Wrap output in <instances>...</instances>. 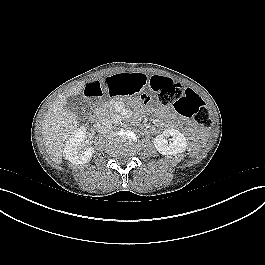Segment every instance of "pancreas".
Wrapping results in <instances>:
<instances>
[{
    "instance_id": "cf45deb5",
    "label": "pancreas",
    "mask_w": 265,
    "mask_h": 265,
    "mask_svg": "<svg viewBox=\"0 0 265 265\" xmlns=\"http://www.w3.org/2000/svg\"><path fill=\"white\" fill-rule=\"evenodd\" d=\"M95 112L101 117L109 116L113 112V105L110 102H106L97 108Z\"/></svg>"
}]
</instances>
